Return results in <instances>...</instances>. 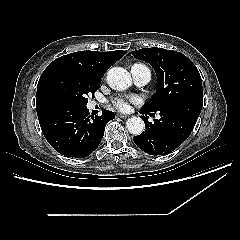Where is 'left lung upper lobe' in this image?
<instances>
[{
	"label": "left lung upper lobe",
	"instance_id": "obj_1",
	"mask_svg": "<svg viewBox=\"0 0 240 240\" xmlns=\"http://www.w3.org/2000/svg\"><path fill=\"white\" fill-rule=\"evenodd\" d=\"M131 53L151 64L157 74L156 94L144 109L156 112L182 99L203 97L200 74L182 53L162 48H143Z\"/></svg>",
	"mask_w": 240,
	"mask_h": 240
}]
</instances>
